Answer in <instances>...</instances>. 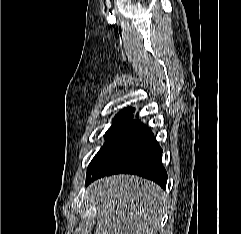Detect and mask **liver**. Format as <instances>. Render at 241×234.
I'll return each mask as SVG.
<instances>
[{
    "label": "liver",
    "instance_id": "6515ba94",
    "mask_svg": "<svg viewBox=\"0 0 241 234\" xmlns=\"http://www.w3.org/2000/svg\"><path fill=\"white\" fill-rule=\"evenodd\" d=\"M86 199L97 213L95 234H156L167 195L149 180L120 174L91 183Z\"/></svg>",
    "mask_w": 241,
    "mask_h": 234
}]
</instances>
